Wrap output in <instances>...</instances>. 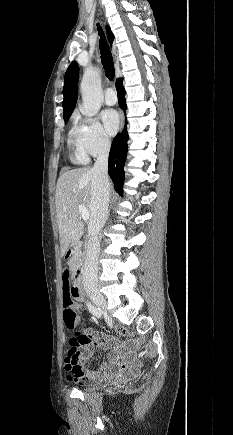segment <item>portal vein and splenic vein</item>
Instances as JSON below:
<instances>
[{
    "label": "portal vein and splenic vein",
    "instance_id": "obj_1",
    "mask_svg": "<svg viewBox=\"0 0 233 435\" xmlns=\"http://www.w3.org/2000/svg\"><path fill=\"white\" fill-rule=\"evenodd\" d=\"M78 208H79V212L81 214L82 219L88 220L89 219V211L87 210V208L82 204H80Z\"/></svg>",
    "mask_w": 233,
    "mask_h": 435
}]
</instances>
